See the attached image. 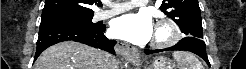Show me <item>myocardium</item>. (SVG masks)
<instances>
[{"label":"myocardium","instance_id":"f54148a6","mask_svg":"<svg viewBox=\"0 0 246 69\" xmlns=\"http://www.w3.org/2000/svg\"><path fill=\"white\" fill-rule=\"evenodd\" d=\"M162 31L165 33L163 37H154L151 42L153 48H165L169 47L179 41L181 38L180 29L177 23L170 18L160 19L156 24L155 32Z\"/></svg>","mask_w":246,"mask_h":69}]
</instances>
